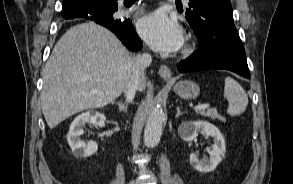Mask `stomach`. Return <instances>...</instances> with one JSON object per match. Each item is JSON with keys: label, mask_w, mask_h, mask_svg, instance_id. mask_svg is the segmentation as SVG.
Instances as JSON below:
<instances>
[{"label": "stomach", "mask_w": 293, "mask_h": 184, "mask_svg": "<svg viewBox=\"0 0 293 184\" xmlns=\"http://www.w3.org/2000/svg\"><path fill=\"white\" fill-rule=\"evenodd\" d=\"M174 92L183 99H195L199 96V86L190 80L177 82L173 87Z\"/></svg>", "instance_id": "obj_1"}]
</instances>
